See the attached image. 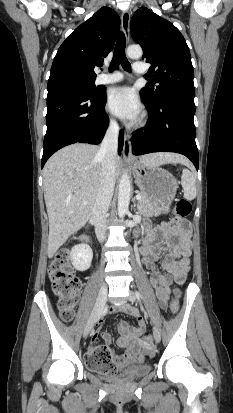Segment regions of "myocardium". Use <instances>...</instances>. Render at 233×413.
<instances>
[{"instance_id":"1","label":"myocardium","mask_w":233,"mask_h":413,"mask_svg":"<svg viewBox=\"0 0 233 413\" xmlns=\"http://www.w3.org/2000/svg\"><path fill=\"white\" fill-rule=\"evenodd\" d=\"M145 124L144 121L140 122L139 126L142 127Z\"/></svg>"}]
</instances>
